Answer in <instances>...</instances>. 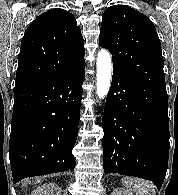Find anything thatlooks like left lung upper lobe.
Masks as SVG:
<instances>
[{
    "label": "left lung upper lobe",
    "mask_w": 178,
    "mask_h": 195,
    "mask_svg": "<svg viewBox=\"0 0 178 195\" xmlns=\"http://www.w3.org/2000/svg\"><path fill=\"white\" fill-rule=\"evenodd\" d=\"M99 44L111 52L113 72L166 93L161 43L147 16L124 5L107 8Z\"/></svg>",
    "instance_id": "left-lung-upper-lobe-1"
}]
</instances>
